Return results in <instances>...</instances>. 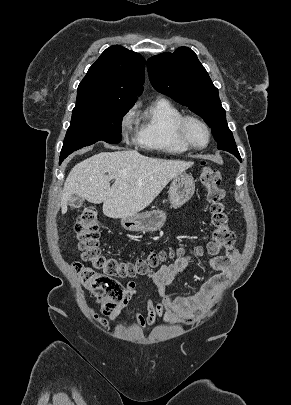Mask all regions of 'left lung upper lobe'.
<instances>
[{"label":"left lung upper lobe","mask_w":291,"mask_h":405,"mask_svg":"<svg viewBox=\"0 0 291 405\" xmlns=\"http://www.w3.org/2000/svg\"><path fill=\"white\" fill-rule=\"evenodd\" d=\"M152 86L201 116L212 129L217 148L240 156L228 128L218 89L196 54L188 47L165 52L147 61Z\"/></svg>","instance_id":"left-lung-upper-lobe-1"}]
</instances>
